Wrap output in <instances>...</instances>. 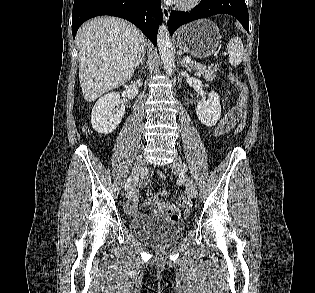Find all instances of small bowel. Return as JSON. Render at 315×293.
Masks as SVG:
<instances>
[{"label":"small bowel","mask_w":315,"mask_h":293,"mask_svg":"<svg viewBox=\"0 0 315 293\" xmlns=\"http://www.w3.org/2000/svg\"><path fill=\"white\" fill-rule=\"evenodd\" d=\"M238 118H241L238 107L229 108L224 112L219 123L212 129L208 130L207 133L214 136L226 133L237 124ZM156 175L159 177L164 176L163 173L161 172H157ZM144 183H146V180L142 182V184ZM137 194L138 192L135 189L132 197L130 198L126 206L127 212L133 216L138 215L136 207H135ZM166 194H167V191L162 190L157 195L145 199L144 205L152 208L154 213L169 212V215H168L169 220H176L178 213H174L175 209L173 205L170 202L163 200V197H165Z\"/></svg>","instance_id":"small-bowel-1"}]
</instances>
